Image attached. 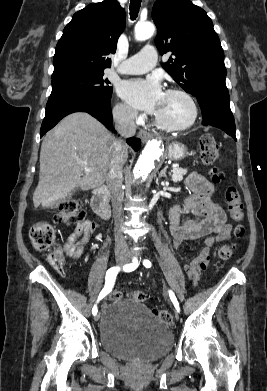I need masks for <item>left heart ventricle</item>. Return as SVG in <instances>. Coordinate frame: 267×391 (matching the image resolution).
Returning a JSON list of instances; mask_svg holds the SVG:
<instances>
[{"label":"left heart ventricle","mask_w":267,"mask_h":391,"mask_svg":"<svg viewBox=\"0 0 267 391\" xmlns=\"http://www.w3.org/2000/svg\"><path fill=\"white\" fill-rule=\"evenodd\" d=\"M191 110L187 101L178 94L165 93L156 116L170 124H183L190 118Z\"/></svg>","instance_id":"obj_1"}]
</instances>
